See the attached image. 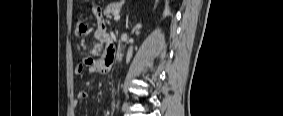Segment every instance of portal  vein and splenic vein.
<instances>
[{
    "instance_id": "18ae733b",
    "label": "portal vein and splenic vein",
    "mask_w": 283,
    "mask_h": 116,
    "mask_svg": "<svg viewBox=\"0 0 283 116\" xmlns=\"http://www.w3.org/2000/svg\"><path fill=\"white\" fill-rule=\"evenodd\" d=\"M114 20H115V21H119V20H120V15H119L118 12H116V13L114 14Z\"/></svg>"
}]
</instances>
